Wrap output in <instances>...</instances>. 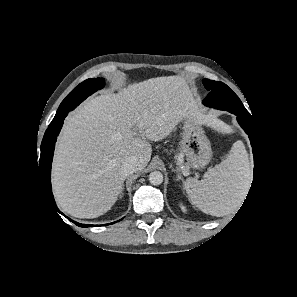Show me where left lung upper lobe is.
<instances>
[{
    "label": "left lung upper lobe",
    "mask_w": 297,
    "mask_h": 297,
    "mask_svg": "<svg viewBox=\"0 0 297 297\" xmlns=\"http://www.w3.org/2000/svg\"><path fill=\"white\" fill-rule=\"evenodd\" d=\"M203 84L209 91V94L203 100L204 105L227 110L233 114L241 115L244 118H252L239 97L226 84L209 79H204Z\"/></svg>",
    "instance_id": "5c2ea615"
}]
</instances>
